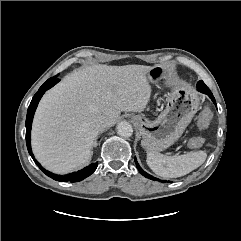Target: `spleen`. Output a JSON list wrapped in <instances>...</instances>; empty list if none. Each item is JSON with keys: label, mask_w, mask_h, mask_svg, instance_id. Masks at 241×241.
Listing matches in <instances>:
<instances>
[{"label": "spleen", "mask_w": 241, "mask_h": 241, "mask_svg": "<svg viewBox=\"0 0 241 241\" xmlns=\"http://www.w3.org/2000/svg\"><path fill=\"white\" fill-rule=\"evenodd\" d=\"M207 158L204 151L188 152L179 156H165L157 152L147 153L150 169L163 178L184 176L201 166Z\"/></svg>", "instance_id": "spleen-1"}]
</instances>
